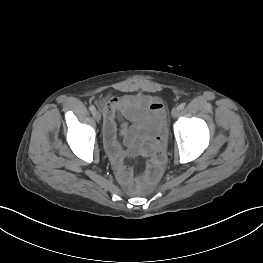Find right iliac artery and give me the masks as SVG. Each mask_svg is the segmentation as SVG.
Returning a JSON list of instances; mask_svg holds the SVG:
<instances>
[{"label":"right iliac artery","mask_w":263,"mask_h":263,"mask_svg":"<svg viewBox=\"0 0 263 263\" xmlns=\"http://www.w3.org/2000/svg\"><path fill=\"white\" fill-rule=\"evenodd\" d=\"M89 110H90L92 113H95L96 108H95L93 105H91V106L89 107Z\"/></svg>","instance_id":"82829eb1"}]
</instances>
